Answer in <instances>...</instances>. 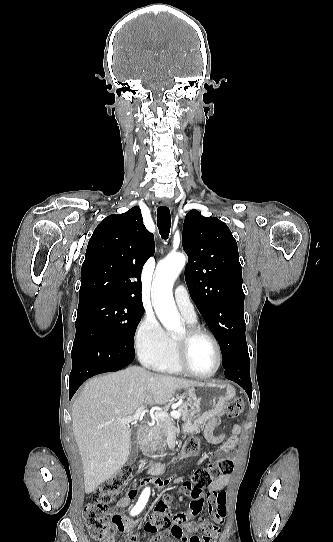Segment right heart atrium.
I'll list each match as a JSON object with an SVG mask.
<instances>
[{
	"label": "right heart atrium",
	"instance_id": "d8ad5b80",
	"mask_svg": "<svg viewBox=\"0 0 333 542\" xmlns=\"http://www.w3.org/2000/svg\"><path fill=\"white\" fill-rule=\"evenodd\" d=\"M134 343L140 358L162 351L168 343L167 334L152 313H146L134 332Z\"/></svg>",
	"mask_w": 333,
	"mask_h": 542
}]
</instances>
